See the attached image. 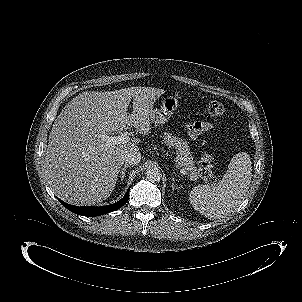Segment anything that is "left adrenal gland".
<instances>
[{"label": "left adrenal gland", "instance_id": "obj_1", "mask_svg": "<svg viewBox=\"0 0 302 302\" xmlns=\"http://www.w3.org/2000/svg\"><path fill=\"white\" fill-rule=\"evenodd\" d=\"M174 182H175V178L173 177V174H172V185L171 186L173 189L177 188V186H175Z\"/></svg>", "mask_w": 302, "mask_h": 302}]
</instances>
